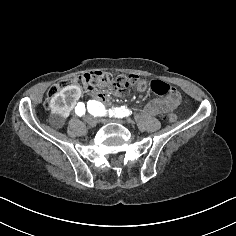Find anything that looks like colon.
I'll list each match as a JSON object with an SVG mask.
<instances>
[{"instance_id": "1", "label": "colon", "mask_w": 236, "mask_h": 236, "mask_svg": "<svg viewBox=\"0 0 236 236\" xmlns=\"http://www.w3.org/2000/svg\"><path fill=\"white\" fill-rule=\"evenodd\" d=\"M69 85L79 86L87 93L88 97H94L97 93H103V91L109 88H114L118 91H127L131 88H136L143 91L149 86L151 90L158 95H168L170 98L179 99L177 91L162 81L153 80L148 82L137 75H121L115 77L108 72L97 70L52 85L48 90V98L45 101V107H49L51 97ZM176 119L177 116L174 113L164 116V120L170 123L175 122Z\"/></svg>"}]
</instances>
